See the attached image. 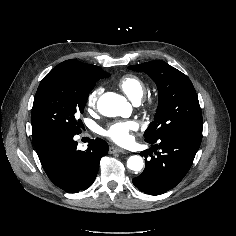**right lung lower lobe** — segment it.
I'll use <instances>...</instances> for the list:
<instances>
[{"label":"right lung lower lobe","mask_w":236,"mask_h":236,"mask_svg":"<svg viewBox=\"0 0 236 236\" xmlns=\"http://www.w3.org/2000/svg\"><path fill=\"white\" fill-rule=\"evenodd\" d=\"M74 135L56 132L32 134L33 145L49 179L68 193H77L92 185L100 159L108 153V144L90 140L85 151L77 149Z\"/></svg>","instance_id":"obj_1"}]
</instances>
